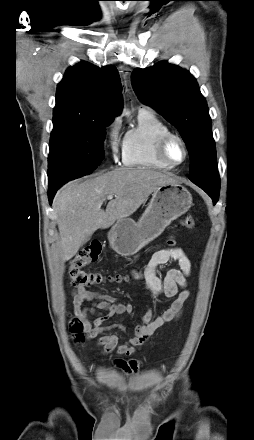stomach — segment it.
<instances>
[{
	"label": "stomach",
	"mask_w": 254,
	"mask_h": 440,
	"mask_svg": "<svg viewBox=\"0 0 254 440\" xmlns=\"http://www.w3.org/2000/svg\"><path fill=\"white\" fill-rule=\"evenodd\" d=\"M192 205L190 192L179 183L157 187L138 222L123 218L108 233L111 248L122 256L137 253L157 238L175 219L186 213Z\"/></svg>",
	"instance_id": "stomach-1"
}]
</instances>
